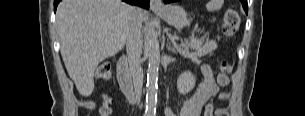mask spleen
<instances>
[{"label":"spleen","mask_w":305,"mask_h":116,"mask_svg":"<svg viewBox=\"0 0 305 116\" xmlns=\"http://www.w3.org/2000/svg\"><path fill=\"white\" fill-rule=\"evenodd\" d=\"M223 5V1L222 0H211L208 2L207 4V10L208 11H215V10H219Z\"/></svg>","instance_id":"1"}]
</instances>
